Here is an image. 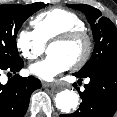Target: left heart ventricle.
I'll list each match as a JSON object with an SVG mask.
<instances>
[{"mask_svg": "<svg viewBox=\"0 0 117 117\" xmlns=\"http://www.w3.org/2000/svg\"><path fill=\"white\" fill-rule=\"evenodd\" d=\"M84 52L83 42L69 44H53L48 48L49 55H58L66 59L71 65L75 63Z\"/></svg>", "mask_w": 117, "mask_h": 117, "instance_id": "b2bd125f", "label": "left heart ventricle"}]
</instances>
